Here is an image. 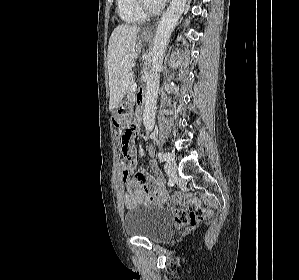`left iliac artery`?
<instances>
[{
    "label": "left iliac artery",
    "instance_id": "1",
    "mask_svg": "<svg viewBox=\"0 0 299 280\" xmlns=\"http://www.w3.org/2000/svg\"><path fill=\"white\" fill-rule=\"evenodd\" d=\"M159 157L163 160V161H168L171 159V154L170 153H159Z\"/></svg>",
    "mask_w": 299,
    "mask_h": 280
}]
</instances>
